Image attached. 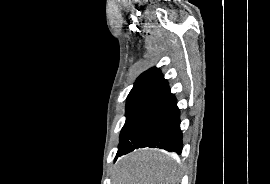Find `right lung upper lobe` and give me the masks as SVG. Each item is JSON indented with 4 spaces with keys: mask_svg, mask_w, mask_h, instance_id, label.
<instances>
[{
    "mask_svg": "<svg viewBox=\"0 0 270 184\" xmlns=\"http://www.w3.org/2000/svg\"><path fill=\"white\" fill-rule=\"evenodd\" d=\"M167 86L168 82L164 79L160 69L154 67L145 71L137 78L127 99L136 97L150 98Z\"/></svg>",
    "mask_w": 270,
    "mask_h": 184,
    "instance_id": "right-lung-upper-lobe-1",
    "label": "right lung upper lobe"
}]
</instances>
